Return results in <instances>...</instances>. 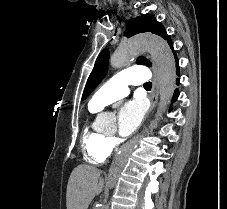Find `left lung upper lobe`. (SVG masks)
Segmentation results:
<instances>
[{
	"label": "left lung upper lobe",
	"mask_w": 227,
	"mask_h": 209,
	"mask_svg": "<svg viewBox=\"0 0 227 209\" xmlns=\"http://www.w3.org/2000/svg\"><path fill=\"white\" fill-rule=\"evenodd\" d=\"M144 32H151L153 34L161 36L163 39L167 40L170 47H173L172 41L166 33L163 25L157 22L151 14L142 15L128 20L125 31V35L127 37H132L136 34ZM108 60L109 51L106 49L102 50L97 57L94 68L88 78L86 87L82 95V100L86 99L87 96L90 95V93L96 88V86L106 75ZM137 64H143L147 66L151 65V63L145 57H139L137 59Z\"/></svg>",
	"instance_id": "left-lung-upper-lobe-1"
}]
</instances>
